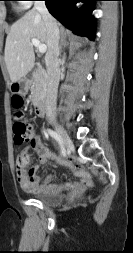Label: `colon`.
<instances>
[{"mask_svg":"<svg viewBox=\"0 0 133 253\" xmlns=\"http://www.w3.org/2000/svg\"><path fill=\"white\" fill-rule=\"evenodd\" d=\"M23 100L20 96H15L12 100L14 108L13 113V133L15 144H22L30 141L33 137L32 127L24 120V114L21 110ZM28 158L26 155L20 156L18 166L23 167L27 164Z\"/></svg>","mask_w":133,"mask_h":253,"instance_id":"5ec220e1","label":"colon"}]
</instances>
